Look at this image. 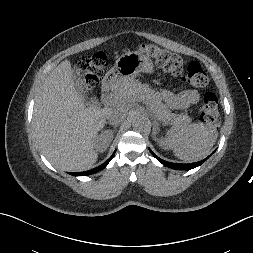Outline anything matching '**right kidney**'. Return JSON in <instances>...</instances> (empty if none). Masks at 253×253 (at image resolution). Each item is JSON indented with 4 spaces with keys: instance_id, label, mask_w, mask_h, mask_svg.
I'll return each mask as SVG.
<instances>
[{
    "instance_id": "obj_1",
    "label": "right kidney",
    "mask_w": 253,
    "mask_h": 253,
    "mask_svg": "<svg viewBox=\"0 0 253 253\" xmlns=\"http://www.w3.org/2000/svg\"><path fill=\"white\" fill-rule=\"evenodd\" d=\"M109 132L110 131L108 130V131L103 132L99 136H96L95 149L97 151L104 152L108 148V146L112 140V137H113L112 132H110V134H109Z\"/></svg>"
}]
</instances>
